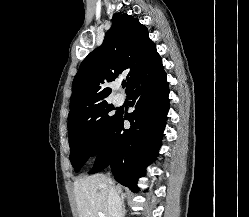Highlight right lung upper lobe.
Segmentation results:
<instances>
[{
    "label": "right lung upper lobe",
    "mask_w": 249,
    "mask_h": 217,
    "mask_svg": "<svg viewBox=\"0 0 249 217\" xmlns=\"http://www.w3.org/2000/svg\"><path fill=\"white\" fill-rule=\"evenodd\" d=\"M157 54L147 28L138 19L114 14L102 45L82 61L74 78L68 119L106 102L111 88L105 84L122 73L127 74L128 90Z\"/></svg>",
    "instance_id": "1"
}]
</instances>
